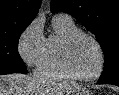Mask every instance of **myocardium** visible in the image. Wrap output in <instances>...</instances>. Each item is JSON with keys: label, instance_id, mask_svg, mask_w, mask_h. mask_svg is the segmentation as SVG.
I'll list each match as a JSON object with an SVG mask.
<instances>
[{"label": "myocardium", "instance_id": "1", "mask_svg": "<svg viewBox=\"0 0 119 95\" xmlns=\"http://www.w3.org/2000/svg\"><path fill=\"white\" fill-rule=\"evenodd\" d=\"M79 37L89 38L91 41L94 42V44L96 45L99 51V55H100L99 68L95 74L90 75V76H84V75L78 74L74 70L72 63H71V49H72L74 42ZM61 60H62L64 69L72 78L77 79V80H82V81H92V80L99 78L101 74L103 73V70L105 67V52H104V49L100 41L94 35L88 32L82 31V30H77L65 38L62 44V49H61Z\"/></svg>", "mask_w": 119, "mask_h": 95}]
</instances>
